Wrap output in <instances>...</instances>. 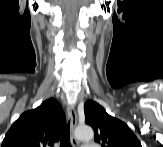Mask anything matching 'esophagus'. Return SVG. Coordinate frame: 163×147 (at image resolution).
<instances>
[{"instance_id":"esophagus-1","label":"esophagus","mask_w":163,"mask_h":147,"mask_svg":"<svg viewBox=\"0 0 163 147\" xmlns=\"http://www.w3.org/2000/svg\"><path fill=\"white\" fill-rule=\"evenodd\" d=\"M67 115L70 118V123H71V132H72L71 141L74 145H78L79 142L74 137V129L77 125V113L74 104H69L67 106Z\"/></svg>"}]
</instances>
